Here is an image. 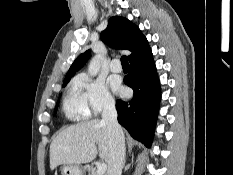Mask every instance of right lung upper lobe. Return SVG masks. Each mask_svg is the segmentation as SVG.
<instances>
[{
    "label": "right lung upper lobe",
    "instance_id": "right-lung-upper-lobe-1",
    "mask_svg": "<svg viewBox=\"0 0 233 175\" xmlns=\"http://www.w3.org/2000/svg\"><path fill=\"white\" fill-rule=\"evenodd\" d=\"M101 39L112 48L131 51L129 61L141 57L150 50L148 41L140 29L128 19L119 16L109 19L107 28L101 33ZM89 56L90 50L79 55L67 72L65 80H70L84 66Z\"/></svg>",
    "mask_w": 233,
    "mask_h": 175
}]
</instances>
